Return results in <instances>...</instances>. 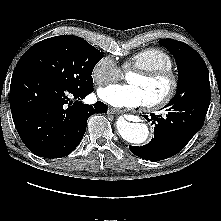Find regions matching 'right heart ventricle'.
I'll return each mask as SVG.
<instances>
[{
	"label": "right heart ventricle",
	"mask_w": 221,
	"mask_h": 221,
	"mask_svg": "<svg viewBox=\"0 0 221 221\" xmlns=\"http://www.w3.org/2000/svg\"><path fill=\"white\" fill-rule=\"evenodd\" d=\"M173 59L164 50L156 47L142 49L136 52L124 63L125 69H172Z\"/></svg>",
	"instance_id": "e07e8e85"
}]
</instances>
